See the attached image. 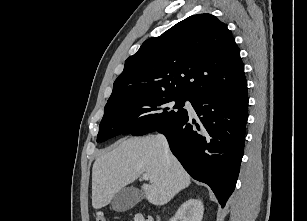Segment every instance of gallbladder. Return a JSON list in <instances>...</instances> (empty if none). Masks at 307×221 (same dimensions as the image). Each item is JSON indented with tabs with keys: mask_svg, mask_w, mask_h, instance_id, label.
<instances>
[{
	"mask_svg": "<svg viewBox=\"0 0 307 221\" xmlns=\"http://www.w3.org/2000/svg\"><path fill=\"white\" fill-rule=\"evenodd\" d=\"M141 199L140 191L133 187L122 188L112 199L111 206L116 212L133 208Z\"/></svg>",
	"mask_w": 307,
	"mask_h": 221,
	"instance_id": "1",
	"label": "gallbladder"
}]
</instances>
